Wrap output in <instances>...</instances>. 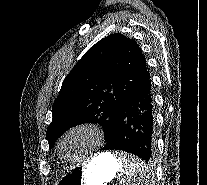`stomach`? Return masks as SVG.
Returning <instances> with one entry per match:
<instances>
[{
  "label": "stomach",
  "instance_id": "obj_1",
  "mask_svg": "<svg viewBox=\"0 0 207 185\" xmlns=\"http://www.w3.org/2000/svg\"><path fill=\"white\" fill-rule=\"evenodd\" d=\"M119 170L117 158L105 152L70 170L58 181V185H107Z\"/></svg>",
  "mask_w": 207,
  "mask_h": 185
}]
</instances>
